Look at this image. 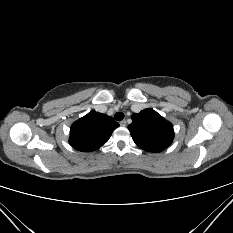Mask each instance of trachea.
<instances>
[{
	"label": "trachea",
	"mask_w": 233,
	"mask_h": 233,
	"mask_svg": "<svg viewBox=\"0 0 233 233\" xmlns=\"http://www.w3.org/2000/svg\"><path fill=\"white\" fill-rule=\"evenodd\" d=\"M114 118H115V120H117V121H121V120L124 118V113H122V112H117V113H115Z\"/></svg>",
	"instance_id": "1"
}]
</instances>
